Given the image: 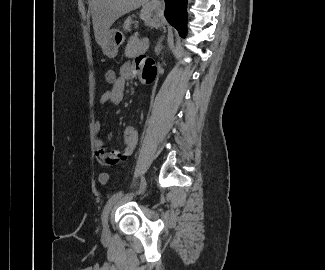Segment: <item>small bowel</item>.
I'll list each match as a JSON object with an SVG mask.
<instances>
[{
	"label": "small bowel",
	"mask_w": 325,
	"mask_h": 270,
	"mask_svg": "<svg viewBox=\"0 0 325 270\" xmlns=\"http://www.w3.org/2000/svg\"><path fill=\"white\" fill-rule=\"evenodd\" d=\"M117 74L119 77L118 87L106 91L101 97V104H121L125 97L126 82L135 78L137 74H140L142 79L146 82L154 80L157 75V66L152 58L139 56L136 58L134 65L130 62L124 63ZM93 132L96 136L94 140L95 157L101 165H113L125 160L133 153L137 144L138 135L133 126L125 127L123 131V140L125 144L123 151H106L103 139L98 137L101 132L100 121L95 122Z\"/></svg>",
	"instance_id": "obj_1"
}]
</instances>
